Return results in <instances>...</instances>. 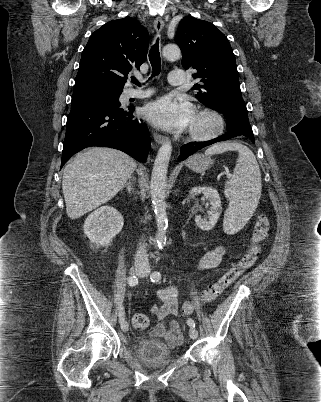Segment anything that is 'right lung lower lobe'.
<instances>
[{"label": "right lung lower lobe", "mask_w": 321, "mask_h": 402, "mask_svg": "<svg viewBox=\"0 0 321 402\" xmlns=\"http://www.w3.org/2000/svg\"><path fill=\"white\" fill-rule=\"evenodd\" d=\"M133 111V106L98 102L71 104L61 168L73 154L89 146L115 148L145 162L151 146L149 131L141 120L133 117Z\"/></svg>", "instance_id": "1"}]
</instances>
